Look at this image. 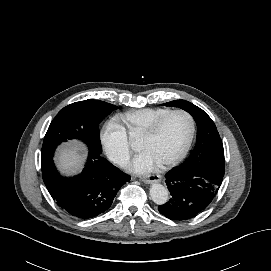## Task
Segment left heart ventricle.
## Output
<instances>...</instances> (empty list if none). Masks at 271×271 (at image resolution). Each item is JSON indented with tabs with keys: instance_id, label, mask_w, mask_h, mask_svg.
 Segmentation results:
<instances>
[{
	"instance_id": "obj_1",
	"label": "left heart ventricle",
	"mask_w": 271,
	"mask_h": 271,
	"mask_svg": "<svg viewBox=\"0 0 271 271\" xmlns=\"http://www.w3.org/2000/svg\"><path fill=\"white\" fill-rule=\"evenodd\" d=\"M189 133V118L183 113H178L168 118L156 134L142 136L139 139V148L149 151L158 162H163L179 153Z\"/></svg>"
}]
</instances>
